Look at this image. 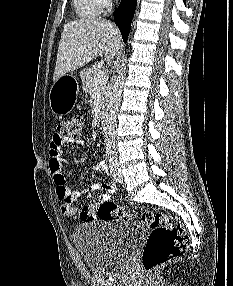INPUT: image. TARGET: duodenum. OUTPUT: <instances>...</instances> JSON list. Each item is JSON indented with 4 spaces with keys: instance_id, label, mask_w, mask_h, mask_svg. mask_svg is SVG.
Segmentation results:
<instances>
[{
    "instance_id": "obj_1",
    "label": "duodenum",
    "mask_w": 233,
    "mask_h": 286,
    "mask_svg": "<svg viewBox=\"0 0 233 286\" xmlns=\"http://www.w3.org/2000/svg\"><path fill=\"white\" fill-rule=\"evenodd\" d=\"M97 126L100 131H105L106 128V120H105V114L104 112H99L97 117Z\"/></svg>"
}]
</instances>
